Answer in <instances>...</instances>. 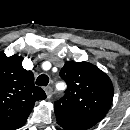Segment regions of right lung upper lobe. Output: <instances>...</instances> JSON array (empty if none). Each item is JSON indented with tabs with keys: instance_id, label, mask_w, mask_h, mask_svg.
<instances>
[{
	"instance_id": "right-lung-upper-lobe-1",
	"label": "right lung upper lobe",
	"mask_w": 130,
	"mask_h": 130,
	"mask_svg": "<svg viewBox=\"0 0 130 130\" xmlns=\"http://www.w3.org/2000/svg\"><path fill=\"white\" fill-rule=\"evenodd\" d=\"M22 57L0 52V130L22 127L36 101L46 98L34 85V75L22 67Z\"/></svg>"
}]
</instances>
